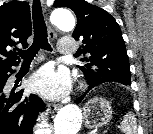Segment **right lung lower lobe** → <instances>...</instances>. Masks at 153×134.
<instances>
[{
  "instance_id": "1",
  "label": "right lung lower lobe",
  "mask_w": 153,
  "mask_h": 134,
  "mask_svg": "<svg viewBox=\"0 0 153 134\" xmlns=\"http://www.w3.org/2000/svg\"><path fill=\"white\" fill-rule=\"evenodd\" d=\"M9 72H13L11 66L0 70V134H32L38 112L44 109V103L34 94L23 96V90L5 94Z\"/></svg>"
}]
</instances>
